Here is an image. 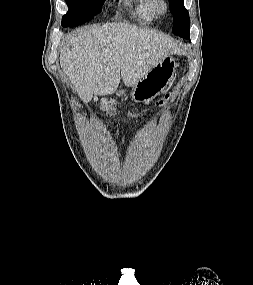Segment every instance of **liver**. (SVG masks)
Instances as JSON below:
<instances>
[{
	"label": "liver",
	"mask_w": 253,
	"mask_h": 285,
	"mask_svg": "<svg viewBox=\"0 0 253 285\" xmlns=\"http://www.w3.org/2000/svg\"><path fill=\"white\" fill-rule=\"evenodd\" d=\"M172 39L127 23L77 32L61 48L60 65L83 102L113 94L122 78L135 85L164 57L180 54Z\"/></svg>",
	"instance_id": "liver-1"
}]
</instances>
